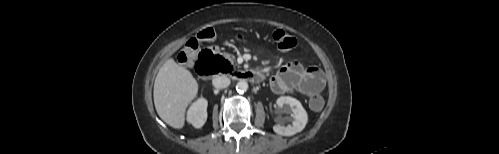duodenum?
<instances>
[{"instance_id":"1","label":"duodenum","mask_w":499,"mask_h":154,"mask_svg":"<svg viewBox=\"0 0 499 154\" xmlns=\"http://www.w3.org/2000/svg\"><path fill=\"white\" fill-rule=\"evenodd\" d=\"M214 57V53L208 52L206 59L198 61L197 70L201 76L208 77L213 74V70L216 67V64L213 62ZM230 77L236 81H248L251 83H261L264 79L262 73L254 70L230 71Z\"/></svg>"}]
</instances>
